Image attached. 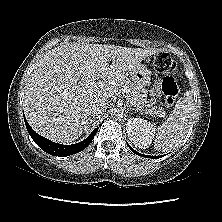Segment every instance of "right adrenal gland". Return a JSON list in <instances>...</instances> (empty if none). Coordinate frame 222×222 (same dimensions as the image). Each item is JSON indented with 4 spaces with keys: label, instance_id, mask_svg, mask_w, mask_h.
Here are the masks:
<instances>
[{
    "label": "right adrenal gland",
    "instance_id": "2a0ac1e0",
    "mask_svg": "<svg viewBox=\"0 0 222 222\" xmlns=\"http://www.w3.org/2000/svg\"><path fill=\"white\" fill-rule=\"evenodd\" d=\"M93 122V117H91V119H90V124Z\"/></svg>",
    "mask_w": 222,
    "mask_h": 222
}]
</instances>
